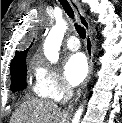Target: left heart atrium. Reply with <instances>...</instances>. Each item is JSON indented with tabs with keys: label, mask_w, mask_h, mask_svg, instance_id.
Returning a JSON list of instances; mask_svg holds the SVG:
<instances>
[{
	"label": "left heart atrium",
	"mask_w": 122,
	"mask_h": 123,
	"mask_svg": "<svg viewBox=\"0 0 122 123\" xmlns=\"http://www.w3.org/2000/svg\"><path fill=\"white\" fill-rule=\"evenodd\" d=\"M88 73V64L82 53L69 55L64 63V77L70 86L81 84Z\"/></svg>",
	"instance_id": "1"
}]
</instances>
